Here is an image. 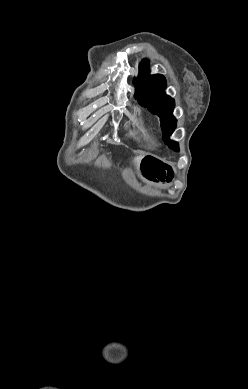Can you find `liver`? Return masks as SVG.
I'll return each mask as SVG.
<instances>
[{
	"label": "liver",
	"instance_id": "6515ba94",
	"mask_svg": "<svg viewBox=\"0 0 248 389\" xmlns=\"http://www.w3.org/2000/svg\"><path fill=\"white\" fill-rule=\"evenodd\" d=\"M142 158H143V156H138V157H136V158L134 159V162H135L136 164H138Z\"/></svg>",
	"mask_w": 248,
	"mask_h": 389
}]
</instances>
